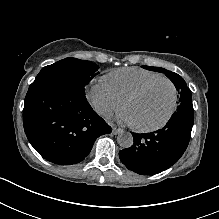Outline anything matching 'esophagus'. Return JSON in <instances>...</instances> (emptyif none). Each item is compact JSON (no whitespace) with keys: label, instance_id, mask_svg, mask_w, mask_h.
Returning <instances> with one entry per match:
<instances>
[{"label":"esophagus","instance_id":"34e87169","mask_svg":"<svg viewBox=\"0 0 219 219\" xmlns=\"http://www.w3.org/2000/svg\"><path fill=\"white\" fill-rule=\"evenodd\" d=\"M123 132V129L120 127H113L112 128V133L117 135V134H121Z\"/></svg>","mask_w":219,"mask_h":219}]
</instances>
